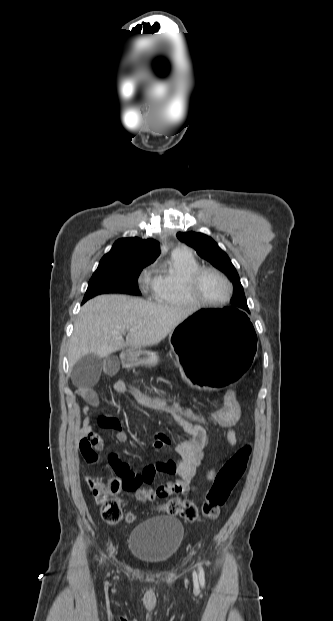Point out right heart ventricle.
I'll list each match as a JSON object with an SVG mask.
<instances>
[{
    "mask_svg": "<svg viewBox=\"0 0 333 621\" xmlns=\"http://www.w3.org/2000/svg\"><path fill=\"white\" fill-rule=\"evenodd\" d=\"M198 268V262L190 253L173 252L167 262L155 272L152 299L165 305H193L186 291V282Z\"/></svg>",
    "mask_w": 333,
    "mask_h": 621,
    "instance_id": "e07e8e85",
    "label": "right heart ventricle"
}]
</instances>
